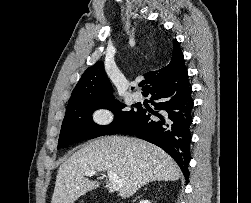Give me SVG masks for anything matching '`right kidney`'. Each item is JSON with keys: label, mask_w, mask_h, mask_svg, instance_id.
Wrapping results in <instances>:
<instances>
[{"label": "right kidney", "mask_w": 251, "mask_h": 203, "mask_svg": "<svg viewBox=\"0 0 251 203\" xmlns=\"http://www.w3.org/2000/svg\"><path fill=\"white\" fill-rule=\"evenodd\" d=\"M140 203H150V201H148V200H142V201H140Z\"/></svg>", "instance_id": "obj_1"}]
</instances>
